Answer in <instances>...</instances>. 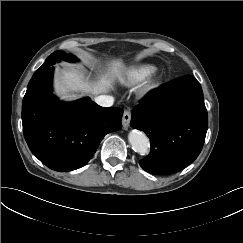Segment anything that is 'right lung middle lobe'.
I'll list each match as a JSON object with an SVG mask.
<instances>
[{
    "label": "right lung middle lobe",
    "mask_w": 243,
    "mask_h": 243,
    "mask_svg": "<svg viewBox=\"0 0 243 243\" xmlns=\"http://www.w3.org/2000/svg\"><path fill=\"white\" fill-rule=\"evenodd\" d=\"M60 60L74 62L76 61V57L71 54H66L63 51H55L52 53L45 61L44 64H54L55 62H58Z\"/></svg>",
    "instance_id": "dd1d6c3e"
}]
</instances>
